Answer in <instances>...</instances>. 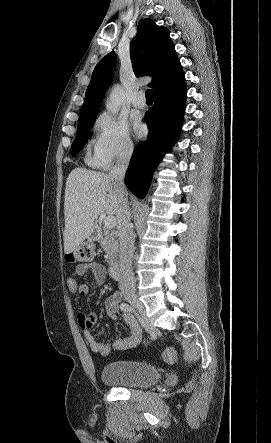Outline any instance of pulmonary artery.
<instances>
[{"label": "pulmonary artery", "instance_id": "pulmonary-artery-1", "mask_svg": "<svg viewBox=\"0 0 271 443\" xmlns=\"http://www.w3.org/2000/svg\"><path fill=\"white\" fill-rule=\"evenodd\" d=\"M133 105L138 109H144L147 106L146 96L143 91H139L134 99H133Z\"/></svg>", "mask_w": 271, "mask_h": 443}]
</instances>
